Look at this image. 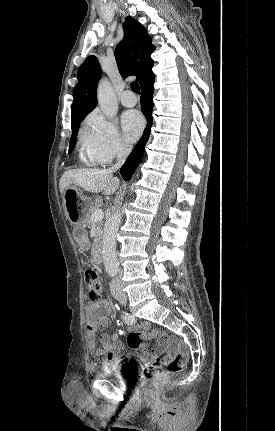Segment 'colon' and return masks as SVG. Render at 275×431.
<instances>
[{"label":"colon","instance_id":"colon-1","mask_svg":"<svg viewBox=\"0 0 275 431\" xmlns=\"http://www.w3.org/2000/svg\"><path fill=\"white\" fill-rule=\"evenodd\" d=\"M88 287V295L92 301L97 300L103 293L104 283L99 273L93 269H87L84 273ZM144 338H157L162 342H168L178 349V353L169 360L168 372L158 368L157 362H150L144 373L150 379L147 387L148 393H154L161 390L169 380V373H177L186 365L189 348L188 345L180 339L168 337L161 331L154 330L150 333H140L132 331L127 336V344L133 350H139L145 346Z\"/></svg>","mask_w":275,"mask_h":431}]
</instances>
